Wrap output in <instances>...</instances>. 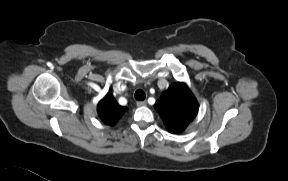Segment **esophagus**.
<instances>
[{"label": "esophagus", "mask_w": 288, "mask_h": 181, "mask_svg": "<svg viewBox=\"0 0 288 181\" xmlns=\"http://www.w3.org/2000/svg\"><path fill=\"white\" fill-rule=\"evenodd\" d=\"M136 105H137L138 107L146 106V105H147V102H146V101H138V102L136 103Z\"/></svg>", "instance_id": "34e87169"}]
</instances>
